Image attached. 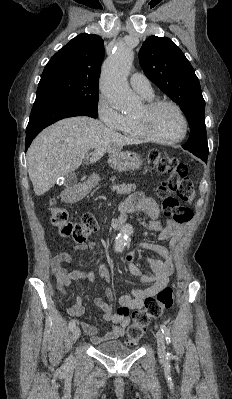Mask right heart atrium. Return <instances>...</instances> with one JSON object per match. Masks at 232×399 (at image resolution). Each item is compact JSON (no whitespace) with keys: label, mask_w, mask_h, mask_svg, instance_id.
Instances as JSON below:
<instances>
[{"label":"right heart atrium","mask_w":232,"mask_h":399,"mask_svg":"<svg viewBox=\"0 0 232 399\" xmlns=\"http://www.w3.org/2000/svg\"><path fill=\"white\" fill-rule=\"evenodd\" d=\"M106 99V96H105ZM118 104V103H111ZM97 116L99 120H102V125H111V130L118 129L125 120V117L112 109L106 101L97 105L96 108Z\"/></svg>","instance_id":"obj_1"}]
</instances>
